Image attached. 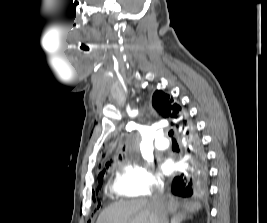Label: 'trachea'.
Wrapping results in <instances>:
<instances>
[{"mask_svg": "<svg viewBox=\"0 0 267 223\" xmlns=\"http://www.w3.org/2000/svg\"><path fill=\"white\" fill-rule=\"evenodd\" d=\"M173 134H174L173 130H170L168 133V135L172 138V141L174 142L175 139L173 138Z\"/></svg>", "mask_w": 267, "mask_h": 223, "instance_id": "obj_1", "label": "trachea"}]
</instances>
